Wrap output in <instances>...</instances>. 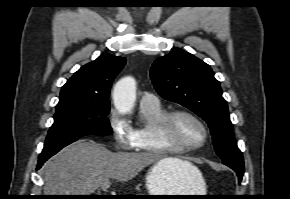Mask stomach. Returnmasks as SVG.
Segmentation results:
<instances>
[{"label":"stomach","instance_id":"obj_1","mask_svg":"<svg viewBox=\"0 0 290 199\" xmlns=\"http://www.w3.org/2000/svg\"><path fill=\"white\" fill-rule=\"evenodd\" d=\"M148 195H205L206 184L199 170L174 172L162 162H156L146 174ZM195 199L194 197H154Z\"/></svg>","mask_w":290,"mask_h":199}]
</instances>
